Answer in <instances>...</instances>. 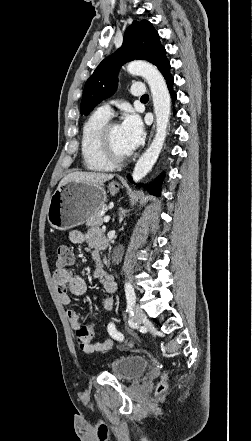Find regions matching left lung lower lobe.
<instances>
[{
  "label": "left lung lower lobe",
  "mask_w": 252,
  "mask_h": 441,
  "mask_svg": "<svg viewBox=\"0 0 252 441\" xmlns=\"http://www.w3.org/2000/svg\"><path fill=\"white\" fill-rule=\"evenodd\" d=\"M156 66L158 67L160 72L163 74V76L166 80L167 87L170 91L172 101L174 102L176 100V93L173 91L174 79H173L172 75L170 74V62L166 58V51L165 50L163 51V53L159 57ZM174 114H175V111H174ZM127 178L129 181L133 182L130 175H128ZM162 180H163V175H160L158 177V179L155 181V183H153L149 186V188H150L149 192L151 194L156 195V196H160V185H161ZM139 186H141V185H139Z\"/></svg>",
  "instance_id": "1"
}]
</instances>
